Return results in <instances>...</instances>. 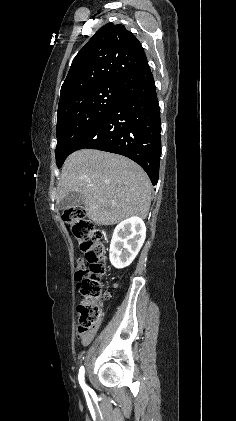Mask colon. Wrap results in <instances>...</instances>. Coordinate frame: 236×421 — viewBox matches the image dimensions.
<instances>
[{"instance_id":"1","label":"colon","mask_w":236,"mask_h":421,"mask_svg":"<svg viewBox=\"0 0 236 421\" xmlns=\"http://www.w3.org/2000/svg\"><path fill=\"white\" fill-rule=\"evenodd\" d=\"M63 218L90 264L86 268L83 261L79 260L75 272L78 292L84 297L77 307L78 337L81 338L100 324L103 313L99 300L109 296L102 282V276L106 273L107 241L102 232L86 219L84 209H67Z\"/></svg>"}]
</instances>
